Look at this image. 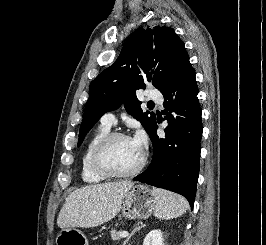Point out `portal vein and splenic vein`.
<instances>
[{
	"label": "portal vein and splenic vein",
	"instance_id": "18ae733b",
	"mask_svg": "<svg viewBox=\"0 0 266 245\" xmlns=\"http://www.w3.org/2000/svg\"><path fill=\"white\" fill-rule=\"evenodd\" d=\"M128 235V231H123V233H120V237H128Z\"/></svg>",
	"mask_w": 266,
	"mask_h": 245
}]
</instances>
